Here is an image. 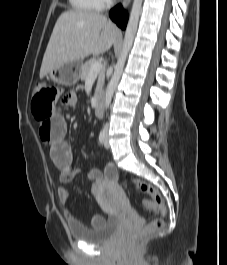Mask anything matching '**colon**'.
<instances>
[{"instance_id":"obj_1","label":"colon","mask_w":227,"mask_h":265,"mask_svg":"<svg viewBox=\"0 0 227 265\" xmlns=\"http://www.w3.org/2000/svg\"><path fill=\"white\" fill-rule=\"evenodd\" d=\"M58 98V91L55 87L38 82L34 87V96L32 100V111L42 125V120H49L52 116L53 106ZM133 183L138 190L150 195L152 200H143V207L147 211L157 212L161 216L166 214V205L159 191L152 185L140 180L133 179ZM163 219L161 217L151 220L140 231L129 234L125 238L127 246L136 243L142 236L151 234L163 227Z\"/></svg>"}]
</instances>
